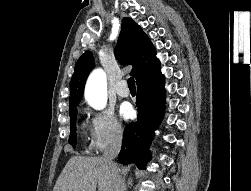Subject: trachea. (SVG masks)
I'll use <instances>...</instances> for the list:
<instances>
[{
	"instance_id": "obj_1",
	"label": "trachea",
	"mask_w": 251,
	"mask_h": 191,
	"mask_svg": "<svg viewBox=\"0 0 251 191\" xmlns=\"http://www.w3.org/2000/svg\"><path fill=\"white\" fill-rule=\"evenodd\" d=\"M127 84H128V88L129 89H136L135 88V80H134V78H129L128 80H127Z\"/></svg>"
}]
</instances>
